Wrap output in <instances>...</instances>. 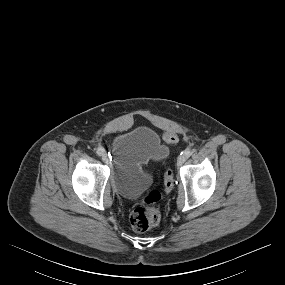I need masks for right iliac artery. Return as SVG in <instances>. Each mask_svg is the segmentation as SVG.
<instances>
[{
	"instance_id": "1",
	"label": "right iliac artery",
	"mask_w": 285,
	"mask_h": 285,
	"mask_svg": "<svg viewBox=\"0 0 285 285\" xmlns=\"http://www.w3.org/2000/svg\"><path fill=\"white\" fill-rule=\"evenodd\" d=\"M96 152L98 155H102L104 153V149L99 147V148H97Z\"/></svg>"
}]
</instances>
